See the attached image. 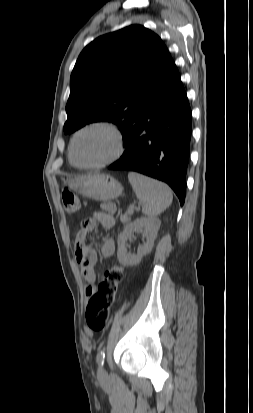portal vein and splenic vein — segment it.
<instances>
[{
	"label": "portal vein and splenic vein",
	"mask_w": 253,
	"mask_h": 413,
	"mask_svg": "<svg viewBox=\"0 0 253 413\" xmlns=\"http://www.w3.org/2000/svg\"><path fill=\"white\" fill-rule=\"evenodd\" d=\"M131 211L133 212V207H131Z\"/></svg>",
	"instance_id": "1"
}]
</instances>
